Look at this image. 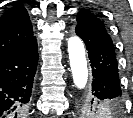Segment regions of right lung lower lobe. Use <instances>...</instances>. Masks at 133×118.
<instances>
[{"mask_svg":"<svg viewBox=\"0 0 133 118\" xmlns=\"http://www.w3.org/2000/svg\"><path fill=\"white\" fill-rule=\"evenodd\" d=\"M36 38L0 57V118H22L37 69Z\"/></svg>","mask_w":133,"mask_h":118,"instance_id":"1","label":"right lung lower lobe"}]
</instances>
